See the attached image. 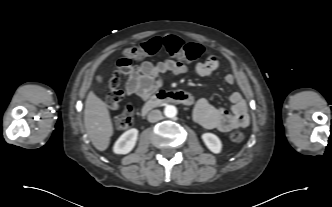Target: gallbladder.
<instances>
[{
    "label": "gallbladder",
    "instance_id": "1",
    "mask_svg": "<svg viewBox=\"0 0 332 207\" xmlns=\"http://www.w3.org/2000/svg\"><path fill=\"white\" fill-rule=\"evenodd\" d=\"M97 81H98V82H102V77L98 76V77H97Z\"/></svg>",
    "mask_w": 332,
    "mask_h": 207
}]
</instances>
